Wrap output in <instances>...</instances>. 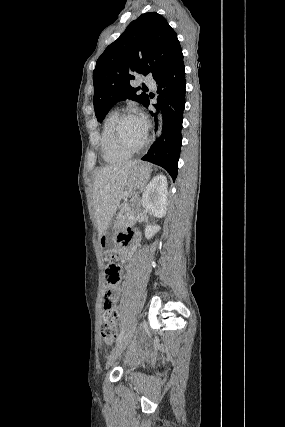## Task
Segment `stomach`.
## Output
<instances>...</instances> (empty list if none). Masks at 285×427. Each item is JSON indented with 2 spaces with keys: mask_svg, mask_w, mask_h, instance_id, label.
<instances>
[{
  "mask_svg": "<svg viewBox=\"0 0 285 427\" xmlns=\"http://www.w3.org/2000/svg\"><path fill=\"white\" fill-rule=\"evenodd\" d=\"M151 168L146 163L137 162L130 170L128 182L126 185L127 192L142 190L150 178ZM117 225L113 222L99 238V244L104 252L110 251L113 246V237L117 230Z\"/></svg>",
  "mask_w": 285,
  "mask_h": 427,
  "instance_id": "stomach-1",
  "label": "stomach"
}]
</instances>
